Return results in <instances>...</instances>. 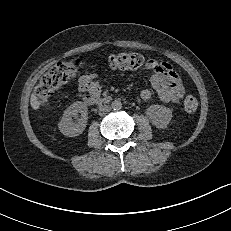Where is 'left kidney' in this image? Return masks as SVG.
<instances>
[{"mask_svg": "<svg viewBox=\"0 0 231 231\" xmlns=\"http://www.w3.org/2000/svg\"><path fill=\"white\" fill-rule=\"evenodd\" d=\"M146 114L158 128H166L172 119V111L163 105H151L147 108Z\"/></svg>", "mask_w": 231, "mask_h": 231, "instance_id": "obj_1", "label": "left kidney"}]
</instances>
